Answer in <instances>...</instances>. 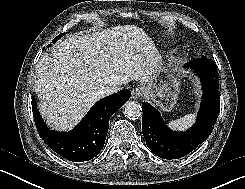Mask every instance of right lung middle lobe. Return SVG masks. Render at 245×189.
<instances>
[{"instance_id": "right-lung-middle-lobe-1", "label": "right lung middle lobe", "mask_w": 245, "mask_h": 189, "mask_svg": "<svg viewBox=\"0 0 245 189\" xmlns=\"http://www.w3.org/2000/svg\"><path fill=\"white\" fill-rule=\"evenodd\" d=\"M64 34H60L58 35L54 40H53V43L56 42L60 37H62ZM50 46V45H49Z\"/></svg>"}]
</instances>
